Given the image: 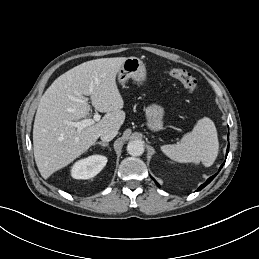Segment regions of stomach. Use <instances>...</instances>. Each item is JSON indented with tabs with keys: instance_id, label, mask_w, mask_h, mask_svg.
I'll return each mask as SVG.
<instances>
[{
	"instance_id": "0dacf381",
	"label": "stomach",
	"mask_w": 259,
	"mask_h": 259,
	"mask_svg": "<svg viewBox=\"0 0 259 259\" xmlns=\"http://www.w3.org/2000/svg\"><path fill=\"white\" fill-rule=\"evenodd\" d=\"M131 78L139 83L146 79V68L144 63L137 57H129L122 64L118 72V81L125 84ZM148 126L152 131L161 130L163 127L164 110L157 104H151L145 109Z\"/></svg>"
}]
</instances>
